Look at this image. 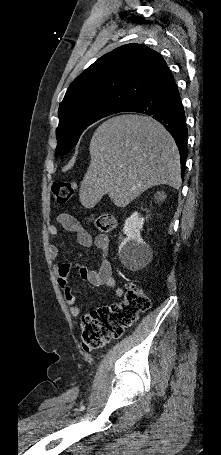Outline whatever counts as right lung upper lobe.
Instances as JSON below:
<instances>
[{
    "label": "right lung upper lobe",
    "mask_w": 221,
    "mask_h": 455,
    "mask_svg": "<svg viewBox=\"0 0 221 455\" xmlns=\"http://www.w3.org/2000/svg\"><path fill=\"white\" fill-rule=\"evenodd\" d=\"M166 62L141 44H127L100 57L69 86L60 104L59 117L99 102L125 106L140 98Z\"/></svg>",
    "instance_id": "right-lung-upper-lobe-1"
}]
</instances>
